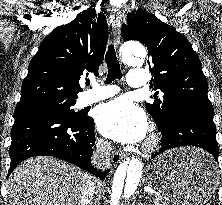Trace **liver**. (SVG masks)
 I'll list each match as a JSON object with an SVG mask.
<instances>
[{
  "label": "liver",
  "mask_w": 222,
  "mask_h": 205,
  "mask_svg": "<svg viewBox=\"0 0 222 205\" xmlns=\"http://www.w3.org/2000/svg\"><path fill=\"white\" fill-rule=\"evenodd\" d=\"M91 176L50 156L18 165L8 178L5 205H80Z\"/></svg>",
  "instance_id": "obj_1"
}]
</instances>
